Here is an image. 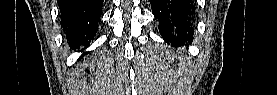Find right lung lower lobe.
<instances>
[{"label": "right lung lower lobe", "mask_w": 277, "mask_h": 95, "mask_svg": "<svg viewBox=\"0 0 277 95\" xmlns=\"http://www.w3.org/2000/svg\"><path fill=\"white\" fill-rule=\"evenodd\" d=\"M103 0H60L61 24L72 49L89 46L96 35Z\"/></svg>", "instance_id": "1"}]
</instances>
